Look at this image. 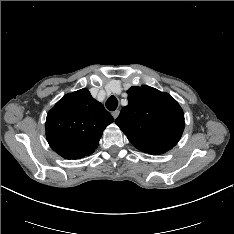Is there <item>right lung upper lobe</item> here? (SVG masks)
<instances>
[{
    "mask_svg": "<svg viewBox=\"0 0 234 234\" xmlns=\"http://www.w3.org/2000/svg\"><path fill=\"white\" fill-rule=\"evenodd\" d=\"M114 121L87 89L66 94L48 112L46 138L66 159L89 156L98 147L104 129Z\"/></svg>",
    "mask_w": 234,
    "mask_h": 234,
    "instance_id": "obj_1",
    "label": "right lung upper lobe"
}]
</instances>
